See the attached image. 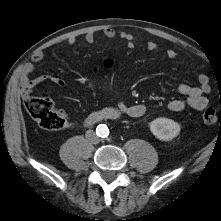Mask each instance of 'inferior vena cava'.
Here are the masks:
<instances>
[{
	"label": "inferior vena cava",
	"mask_w": 221,
	"mask_h": 221,
	"mask_svg": "<svg viewBox=\"0 0 221 221\" xmlns=\"http://www.w3.org/2000/svg\"><path fill=\"white\" fill-rule=\"evenodd\" d=\"M85 137L92 144H98L100 142V138L96 135L93 130L86 131Z\"/></svg>",
	"instance_id": "602c4592"
}]
</instances>
